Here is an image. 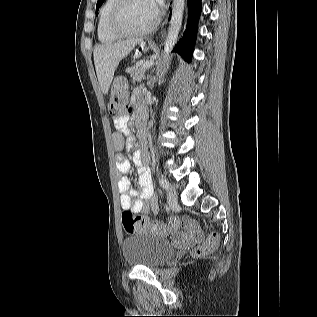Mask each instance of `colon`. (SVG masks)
<instances>
[{
  "label": "colon",
  "mask_w": 317,
  "mask_h": 317,
  "mask_svg": "<svg viewBox=\"0 0 317 317\" xmlns=\"http://www.w3.org/2000/svg\"><path fill=\"white\" fill-rule=\"evenodd\" d=\"M109 112L114 118L126 116L129 111L128 106V85L123 77H116L110 90ZM122 224L129 234L150 231L159 235H168L181 226H192L194 223L186 218L172 217L167 224L161 222H151L147 218L137 216L129 210L122 213ZM219 244L217 233H211L204 241L194 248V255H207L214 251Z\"/></svg>",
  "instance_id": "colon-1"
}]
</instances>
